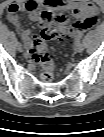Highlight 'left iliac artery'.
Masks as SVG:
<instances>
[{
  "label": "left iliac artery",
  "mask_w": 104,
  "mask_h": 137,
  "mask_svg": "<svg viewBox=\"0 0 104 137\" xmlns=\"http://www.w3.org/2000/svg\"><path fill=\"white\" fill-rule=\"evenodd\" d=\"M82 39V36H80L79 38H78V40H81Z\"/></svg>",
  "instance_id": "1"
}]
</instances>
